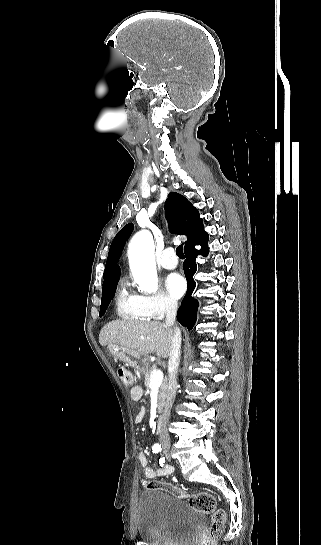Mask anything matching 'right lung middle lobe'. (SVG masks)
Listing matches in <instances>:
<instances>
[{"instance_id": "right-lung-middle-lobe-1", "label": "right lung middle lobe", "mask_w": 321, "mask_h": 545, "mask_svg": "<svg viewBox=\"0 0 321 545\" xmlns=\"http://www.w3.org/2000/svg\"><path fill=\"white\" fill-rule=\"evenodd\" d=\"M116 286L117 285H114L112 287L103 289V291H102V302H101V306H100L99 316H103L105 314V311H106L111 299L114 296Z\"/></svg>"}]
</instances>
